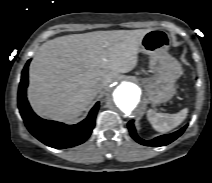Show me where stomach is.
<instances>
[{
  "label": "stomach",
  "instance_id": "0dacf381",
  "mask_svg": "<svg viewBox=\"0 0 212 183\" xmlns=\"http://www.w3.org/2000/svg\"><path fill=\"white\" fill-rule=\"evenodd\" d=\"M170 36L161 29H151L142 38L140 52L149 57V66L154 73L143 79L148 100L157 105L170 100L175 94V83L182 74L180 63L168 54Z\"/></svg>",
  "mask_w": 212,
  "mask_h": 183
}]
</instances>
